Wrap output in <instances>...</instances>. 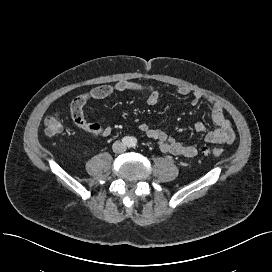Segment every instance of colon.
Instances as JSON below:
<instances>
[{"label":"colon","instance_id":"colon-1","mask_svg":"<svg viewBox=\"0 0 272 272\" xmlns=\"http://www.w3.org/2000/svg\"><path fill=\"white\" fill-rule=\"evenodd\" d=\"M45 133L50 137L60 135L63 132V124L61 122V116L59 113H54L47 116L44 120ZM202 153L204 155H212L219 157L222 151L218 148L204 147L202 148Z\"/></svg>","mask_w":272,"mask_h":272}]
</instances>
